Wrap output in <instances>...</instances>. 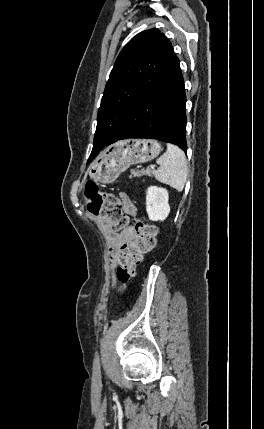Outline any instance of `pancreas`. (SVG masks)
<instances>
[{
	"label": "pancreas",
	"instance_id": "obj_1",
	"mask_svg": "<svg viewBox=\"0 0 264 429\" xmlns=\"http://www.w3.org/2000/svg\"><path fill=\"white\" fill-rule=\"evenodd\" d=\"M154 174V171H152V170H150V169H147V170H138V169H133V170H131V175L133 176V177H140V176H144V175H147V176H152Z\"/></svg>",
	"mask_w": 264,
	"mask_h": 429
}]
</instances>
